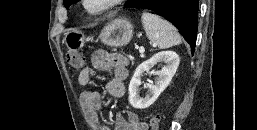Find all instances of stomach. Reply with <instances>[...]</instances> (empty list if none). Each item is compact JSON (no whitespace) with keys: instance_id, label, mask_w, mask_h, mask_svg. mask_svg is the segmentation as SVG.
Instances as JSON below:
<instances>
[{"instance_id":"obj_1","label":"stomach","mask_w":257,"mask_h":130,"mask_svg":"<svg viewBox=\"0 0 257 130\" xmlns=\"http://www.w3.org/2000/svg\"><path fill=\"white\" fill-rule=\"evenodd\" d=\"M133 24L126 18L111 20L101 30L99 39L102 43L111 47L127 45L133 37ZM90 38H86L79 30H71L64 34L63 43L69 50L80 49Z\"/></svg>"}]
</instances>
